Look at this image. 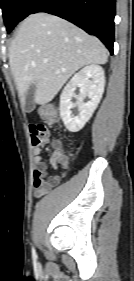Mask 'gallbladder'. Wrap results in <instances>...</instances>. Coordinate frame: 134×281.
<instances>
[{
    "mask_svg": "<svg viewBox=\"0 0 134 281\" xmlns=\"http://www.w3.org/2000/svg\"><path fill=\"white\" fill-rule=\"evenodd\" d=\"M35 85L32 84L29 86L25 96H26V104H25V110L30 111L33 106V101H34V94H35Z\"/></svg>",
    "mask_w": 134,
    "mask_h": 281,
    "instance_id": "1",
    "label": "gallbladder"
}]
</instances>
